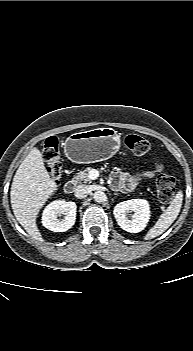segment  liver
<instances>
[{
	"label": "liver",
	"instance_id": "6515ba94",
	"mask_svg": "<svg viewBox=\"0 0 193 351\" xmlns=\"http://www.w3.org/2000/svg\"><path fill=\"white\" fill-rule=\"evenodd\" d=\"M56 190L57 184L50 178L42 154L36 147L31 149L14 175L10 199L17 221L37 241H43L37 215Z\"/></svg>",
	"mask_w": 193,
	"mask_h": 351
}]
</instances>
